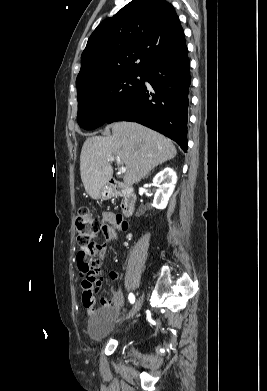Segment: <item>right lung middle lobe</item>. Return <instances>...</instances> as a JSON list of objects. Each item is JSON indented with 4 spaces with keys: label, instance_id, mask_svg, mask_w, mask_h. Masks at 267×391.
Listing matches in <instances>:
<instances>
[{
    "label": "right lung middle lobe",
    "instance_id": "obj_1",
    "mask_svg": "<svg viewBox=\"0 0 267 391\" xmlns=\"http://www.w3.org/2000/svg\"><path fill=\"white\" fill-rule=\"evenodd\" d=\"M142 85L143 72L138 71L119 72L92 81L78 93V124L88 130L102 126Z\"/></svg>",
    "mask_w": 267,
    "mask_h": 391
}]
</instances>
